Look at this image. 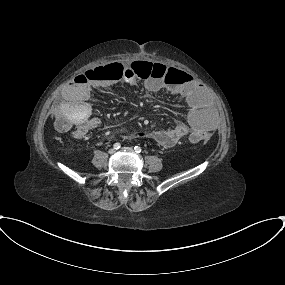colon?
Listing matches in <instances>:
<instances>
[{
    "mask_svg": "<svg viewBox=\"0 0 285 285\" xmlns=\"http://www.w3.org/2000/svg\"><path fill=\"white\" fill-rule=\"evenodd\" d=\"M108 69L113 70L122 76L125 72L124 66L114 63L108 66ZM128 76H136L139 79L149 80L156 79L168 86L182 84L188 80L185 72L159 63H151L147 61H134L127 68ZM103 73L99 70L82 72V82H89L92 79L102 78ZM57 127L64 132H69L75 129V124L70 116L65 113H60L56 119ZM209 139L208 135L204 132L195 131L188 137L191 143H203Z\"/></svg>",
    "mask_w": 285,
    "mask_h": 285,
    "instance_id": "1",
    "label": "colon"
}]
</instances>
